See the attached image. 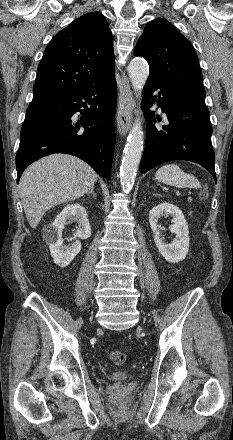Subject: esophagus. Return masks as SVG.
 <instances>
[{
    "mask_svg": "<svg viewBox=\"0 0 233 440\" xmlns=\"http://www.w3.org/2000/svg\"><path fill=\"white\" fill-rule=\"evenodd\" d=\"M135 99L128 77L123 72L120 81V95L117 110V127L121 135L125 136L131 127L132 112Z\"/></svg>",
    "mask_w": 233,
    "mask_h": 440,
    "instance_id": "1",
    "label": "esophagus"
}]
</instances>
